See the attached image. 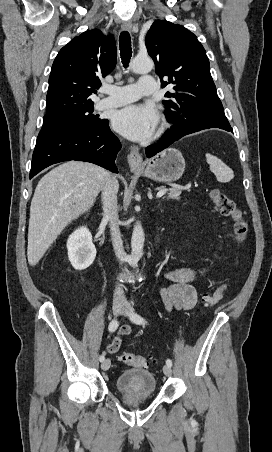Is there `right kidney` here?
<instances>
[{"instance_id":"right-kidney-1","label":"right kidney","mask_w":272,"mask_h":452,"mask_svg":"<svg viewBox=\"0 0 272 452\" xmlns=\"http://www.w3.org/2000/svg\"><path fill=\"white\" fill-rule=\"evenodd\" d=\"M67 249L69 261L76 270L86 269L96 257V248L92 242V235L84 226L76 229L69 236Z\"/></svg>"}]
</instances>
